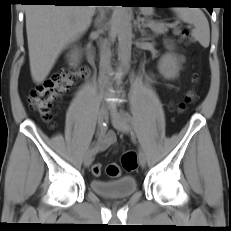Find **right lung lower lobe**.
Here are the masks:
<instances>
[{"mask_svg": "<svg viewBox=\"0 0 231 231\" xmlns=\"http://www.w3.org/2000/svg\"><path fill=\"white\" fill-rule=\"evenodd\" d=\"M78 0H23L27 3H50L54 5H80Z\"/></svg>", "mask_w": 231, "mask_h": 231, "instance_id": "obj_1", "label": "right lung lower lobe"}]
</instances>
